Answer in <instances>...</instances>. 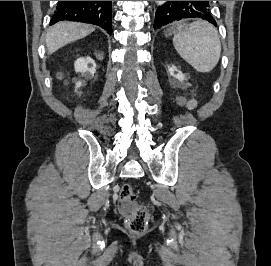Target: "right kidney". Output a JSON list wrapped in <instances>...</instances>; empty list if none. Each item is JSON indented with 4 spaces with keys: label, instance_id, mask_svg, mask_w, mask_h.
<instances>
[{
    "label": "right kidney",
    "instance_id": "1",
    "mask_svg": "<svg viewBox=\"0 0 271 266\" xmlns=\"http://www.w3.org/2000/svg\"><path fill=\"white\" fill-rule=\"evenodd\" d=\"M88 64H92V67L89 68ZM75 71L80 73L89 72L91 75H94L96 72V63L90 57L87 58H78L74 63ZM82 83L79 81L76 83V89L79 88Z\"/></svg>",
    "mask_w": 271,
    "mask_h": 266
}]
</instances>
